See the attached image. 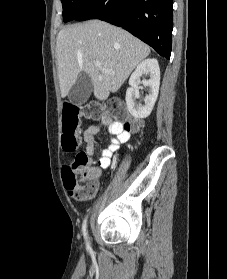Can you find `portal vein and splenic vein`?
<instances>
[{"label":"portal vein and splenic vein","mask_w":227,"mask_h":279,"mask_svg":"<svg viewBox=\"0 0 227 279\" xmlns=\"http://www.w3.org/2000/svg\"><path fill=\"white\" fill-rule=\"evenodd\" d=\"M94 65H95L97 68L102 69V70L105 71V72H108V73L111 72L110 70H108V69L102 67V63H101L100 61H94Z\"/></svg>","instance_id":"1"}]
</instances>
